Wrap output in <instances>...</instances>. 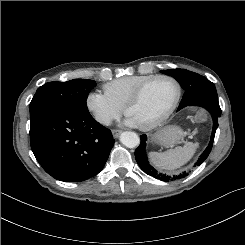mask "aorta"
Instances as JSON below:
<instances>
[{
    "label": "aorta",
    "mask_w": 245,
    "mask_h": 245,
    "mask_svg": "<svg viewBox=\"0 0 245 245\" xmlns=\"http://www.w3.org/2000/svg\"><path fill=\"white\" fill-rule=\"evenodd\" d=\"M120 142L128 148H134L139 145V136L132 131L123 132L120 135Z\"/></svg>",
    "instance_id": "762f6f07"
}]
</instances>
